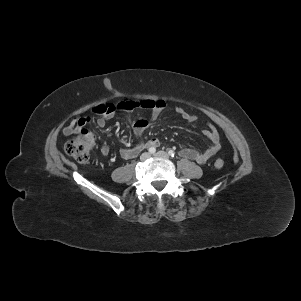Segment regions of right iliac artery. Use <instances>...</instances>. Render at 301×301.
Returning a JSON list of instances; mask_svg holds the SVG:
<instances>
[{
	"label": "right iliac artery",
	"instance_id": "82829eb1",
	"mask_svg": "<svg viewBox=\"0 0 301 301\" xmlns=\"http://www.w3.org/2000/svg\"><path fill=\"white\" fill-rule=\"evenodd\" d=\"M156 152V149L154 147L149 148V153L154 154Z\"/></svg>",
	"mask_w": 301,
	"mask_h": 301
}]
</instances>
